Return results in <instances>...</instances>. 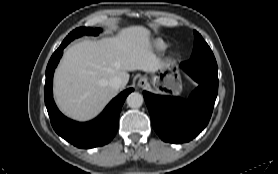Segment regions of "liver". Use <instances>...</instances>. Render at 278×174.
Listing matches in <instances>:
<instances>
[{"label":"liver","mask_w":278,"mask_h":174,"mask_svg":"<svg viewBox=\"0 0 278 174\" xmlns=\"http://www.w3.org/2000/svg\"><path fill=\"white\" fill-rule=\"evenodd\" d=\"M162 65L143 26L123 28L112 38L84 40L64 52L54 76L55 101L66 116L91 120L118 94L109 85L113 77L121 78L124 88L128 71L155 73Z\"/></svg>","instance_id":"1"}]
</instances>
